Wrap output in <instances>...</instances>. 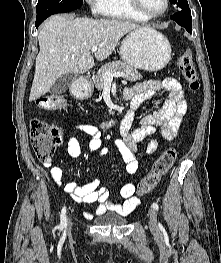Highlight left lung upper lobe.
I'll use <instances>...</instances> for the list:
<instances>
[{
    "label": "left lung upper lobe",
    "instance_id": "5c2ea615",
    "mask_svg": "<svg viewBox=\"0 0 221 263\" xmlns=\"http://www.w3.org/2000/svg\"><path fill=\"white\" fill-rule=\"evenodd\" d=\"M170 2L179 8H189L187 0H170Z\"/></svg>",
    "mask_w": 221,
    "mask_h": 263
}]
</instances>
